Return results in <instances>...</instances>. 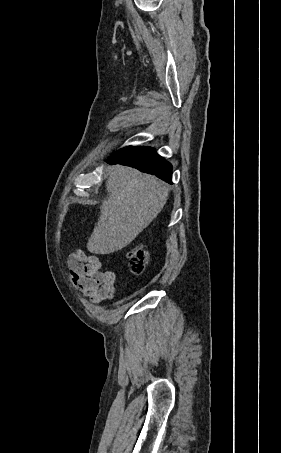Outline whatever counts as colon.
Here are the masks:
<instances>
[{
  "instance_id": "1",
  "label": "colon",
  "mask_w": 281,
  "mask_h": 453,
  "mask_svg": "<svg viewBox=\"0 0 281 453\" xmlns=\"http://www.w3.org/2000/svg\"><path fill=\"white\" fill-rule=\"evenodd\" d=\"M130 269L136 273H142L146 267L149 250L144 243H134L128 253Z\"/></svg>"
}]
</instances>
